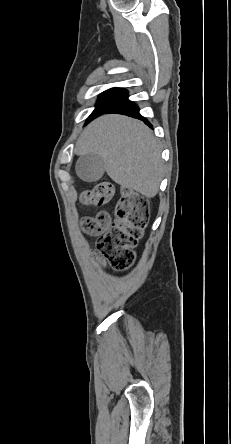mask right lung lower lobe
Segmentation results:
<instances>
[{
  "instance_id": "1",
  "label": "right lung lower lobe",
  "mask_w": 231,
  "mask_h": 444,
  "mask_svg": "<svg viewBox=\"0 0 231 444\" xmlns=\"http://www.w3.org/2000/svg\"><path fill=\"white\" fill-rule=\"evenodd\" d=\"M103 113H119V114L128 115V116L143 120L146 124H148L151 127L149 122L139 114L138 106L136 104L130 102L128 100L127 96L125 98H123L121 101H119L117 104H115L114 106H112L109 109H107L106 111H104Z\"/></svg>"
}]
</instances>
